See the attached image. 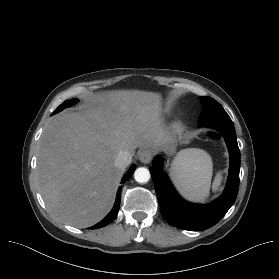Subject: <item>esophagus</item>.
Segmentation results:
<instances>
[{"mask_svg":"<svg viewBox=\"0 0 279 279\" xmlns=\"http://www.w3.org/2000/svg\"><path fill=\"white\" fill-rule=\"evenodd\" d=\"M153 158V154L152 151L150 149H143L140 153H139V160L142 163L148 164L151 162Z\"/></svg>","mask_w":279,"mask_h":279,"instance_id":"obj_1","label":"esophagus"}]
</instances>
